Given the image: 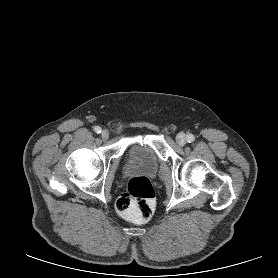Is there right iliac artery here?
Masks as SVG:
<instances>
[{
  "instance_id": "1",
  "label": "right iliac artery",
  "mask_w": 278,
  "mask_h": 278,
  "mask_svg": "<svg viewBox=\"0 0 278 278\" xmlns=\"http://www.w3.org/2000/svg\"><path fill=\"white\" fill-rule=\"evenodd\" d=\"M94 131H95L96 133H101V128H100L99 126H96V127L94 128Z\"/></svg>"
}]
</instances>
